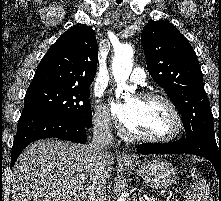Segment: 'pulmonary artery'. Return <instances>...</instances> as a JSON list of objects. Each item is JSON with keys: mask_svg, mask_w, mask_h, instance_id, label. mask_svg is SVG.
<instances>
[{"mask_svg": "<svg viewBox=\"0 0 221 201\" xmlns=\"http://www.w3.org/2000/svg\"><path fill=\"white\" fill-rule=\"evenodd\" d=\"M129 79L131 82L143 86L146 83V74L143 69L134 68Z\"/></svg>", "mask_w": 221, "mask_h": 201, "instance_id": "1", "label": "pulmonary artery"}]
</instances>
